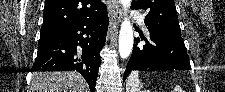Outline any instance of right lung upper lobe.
Returning a JSON list of instances; mask_svg holds the SVG:
<instances>
[{
    "mask_svg": "<svg viewBox=\"0 0 225 92\" xmlns=\"http://www.w3.org/2000/svg\"><path fill=\"white\" fill-rule=\"evenodd\" d=\"M105 8L100 0H45L41 30H63L96 17Z\"/></svg>",
    "mask_w": 225,
    "mask_h": 92,
    "instance_id": "cb5924a9",
    "label": "right lung upper lobe"
}]
</instances>
